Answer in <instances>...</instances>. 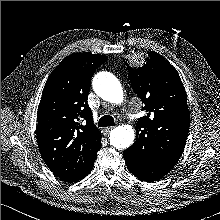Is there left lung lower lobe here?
Listing matches in <instances>:
<instances>
[{
    "instance_id": "1",
    "label": "left lung lower lobe",
    "mask_w": 220,
    "mask_h": 220,
    "mask_svg": "<svg viewBox=\"0 0 220 220\" xmlns=\"http://www.w3.org/2000/svg\"><path fill=\"white\" fill-rule=\"evenodd\" d=\"M125 163L128 170L137 178L154 182L165 176L175 162L152 152H141L134 143L124 151Z\"/></svg>"
}]
</instances>
